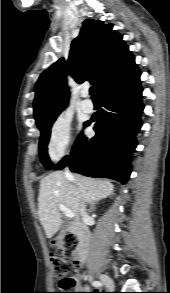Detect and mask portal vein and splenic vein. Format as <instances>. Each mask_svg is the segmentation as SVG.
Instances as JSON below:
<instances>
[{
    "label": "portal vein and splenic vein",
    "instance_id": "1",
    "mask_svg": "<svg viewBox=\"0 0 170 293\" xmlns=\"http://www.w3.org/2000/svg\"><path fill=\"white\" fill-rule=\"evenodd\" d=\"M58 207L62 212H64L66 217H68V218L74 217V213L71 210H69L68 208H66L64 205L59 204Z\"/></svg>",
    "mask_w": 170,
    "mask_h": 293
}]
</instances>
